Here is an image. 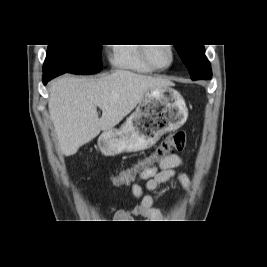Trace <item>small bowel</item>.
Returning a JSON list of instances; mask_svg holds the SVG:
<instances>
[{
	"mask_svg": "<svg viewBox=\"0 0 267 267\" xmlns=\"http://www.w3.org/2000/svg\"><path fill=\"white\" fill-rule=\"evenodd\" d=\"M182 158L178 155L168 156L156 165L136 172V181L132 183V192L136 198L140 200L138 206L131 211L125 209H114L115 219L119 222H125L134 217H144L149 220H159L162 217L160 210L153 207V199L147 192L154 191L160 184L166 183L173 178H177L179 182L188 188L190 185L189 178L186 174L179 173L177 169L182 165ZM133 167L128 168L132 170ZM135 179V178H133ZM145 182V187L141 186V182ZM131 182H128V184Z\"/></svg>",
	"mask_w": 267,
	"mask_h": 267,
	"instance_id": "obj_1",
	"label": "small bowel"
}]
</instances>
